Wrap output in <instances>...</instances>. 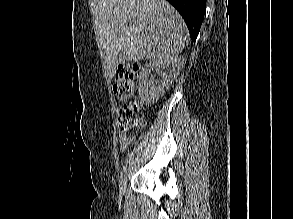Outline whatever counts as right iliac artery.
<instances>
[{
	"mask_svg": "<svg viewBox=\"0 0 293 219\" xmlns=\"http://www.w3.org/2000/svg\"><path fill=\"white\" fill-rule=\"evenodd\" d=\"M133 157V152L131 154H129V156L125 159L124 163H123V170H125L131 163Z\"/></svg>",
	"mask_w": 293,
	"mask_h": 219,
	"instance_id": "obj_1",
	"label": "right iliac artery"
}]
</instances>
